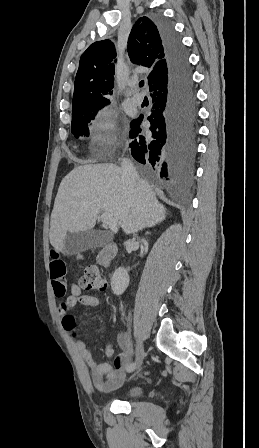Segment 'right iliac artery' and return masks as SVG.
<instances>
[{"instance_id":"1","label":"right iliac artery","mask_w":259,"mask_h":448,"mask_svg":"<svg viewBox=\"0 0 259 448\" xmlns=\"http://www.w3.org/2000/svg\"><path fill=\"white\" fill-rule=\"evenodd\" d=\"M135 367H136V363H131L128 365L127 371L132 372L135 369Z\"/></svg>"}]
</instances>
